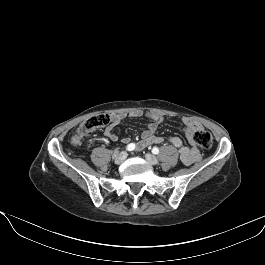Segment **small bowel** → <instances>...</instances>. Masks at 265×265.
<instances>
[{
	"mask_svg": "<svg viewBox=\"0 0 265 265\" xmlns=\"http://www.w3.org/2000/svg\"><path fill=\"white\" fill-rule=\"evenodd\" d=\"M143 115L147 116L151 122L147 125L142 133L141 140L136 144V149L138 151L145 149L146 147L153 144H160L164 141L162 137L156 135L157 128L163 123L164 118L156 113H144L141 110H133L128 115L125 113H117L110 116L109 125L105 129V136L112 141H117L119 139L118 135L113 133L116 126L120 125L127 117L128 118H139ZM183 132L188 141V145L180 138L176 136L169 137L167 142L174 147L178 148L180 153V159L185 165H191L198 160H200V151L194 140V134L196 131L202 129V125L188 117L182 119ZM124 143L130 141L129 137H124L122 139Z\"/></svg>",
	"mask_w": 265,
	"mask_h": 265,
	"instance_id": "1",
	"label": "small bowel"
}]
</instances>
